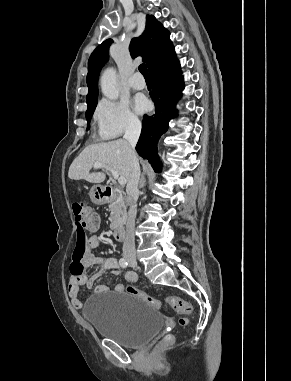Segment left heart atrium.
I'll return each mask as SVG.
<instances>
[{
	"mask_svg": "<svg viewBox=\"0 0 291 381\" xmlns=\"http://www.w3.org/2000/svg\"><path fill=\"white\" fill-rule=\"evenodd\" d=\"M134 105H135V109L139 112V113H143L145 111L148 110L149 108V102L147 101V99L143 96H137L135 98V102H134Z\"/></svg>",
	"mask_w": 291,
	"mask_h": 381,
	"instance_id": "39dd6f15",
	"label": "left heart atrium"
}]
</instances>
